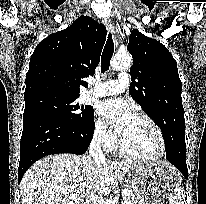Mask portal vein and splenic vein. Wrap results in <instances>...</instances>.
Returning <instances> with one entry per match:
<instances>
[{
	"label": "portal vein and splenic vein",
	"mask_w": 206,
	"mask_h": 204,
	"mask_svg": "<svg viewBox=\"0 0 206 204\" xmlns=\"http://www.w3.org/2000/svg\"><path fill=\"white\" fill-rule=\"evenodd\" d=\"M128 193H129V190L124 189V190L122 191V196L125 197V196L128 195Z\"/></svg>",
	"instance_id": "portal-vein-and-splenic-vein-1"
}]
</instances>
